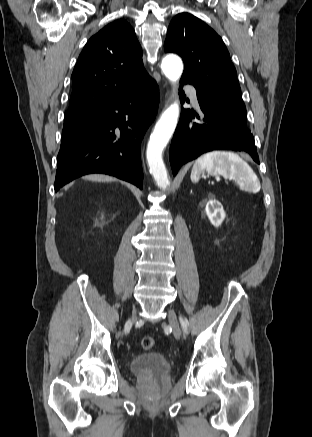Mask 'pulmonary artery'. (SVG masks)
Masks as SVG:
<instances>
[{
	"label": "pulmonary artery",
	"instance_id": "obj_1",
	"mask_svg": "<svg viewBox=\"0 0 312 437\" xmlns=\"http://www.w3.org/2000/svg\"><path fill=\"white\" fill-rule=\"evenodd\" d=\"M187 91H188V93L190 95L192 103L195 106H198V99H197V95H196V90L194 88H192V87H188Z\"/></svg>",
	"mask_w": 312,
	"mask_h": 437
}]
</instances>
